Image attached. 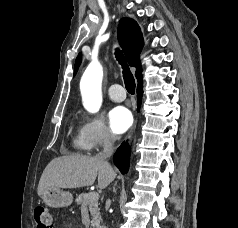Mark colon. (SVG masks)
<instances>
[{"mask_svg":"<svg viewBox=\"0 0 238 228\" xmlns=\"http://www.w3.org/2000/svg\"><path fill=\"white\" fill-rule=\"evenodd\" d=\"M36 228H53V216L45 206H38L34 211Z\"/></svg>","mask_w":238,"mask_h":228,"instance_id":"5ec220e1","label":"colon"}]
</instances>
